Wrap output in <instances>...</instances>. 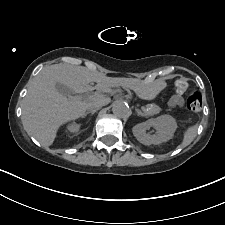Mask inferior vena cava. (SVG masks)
<instances>
[{
    "mask_svg": "<svg viewBox=\"0 0 225 225\" xmlns=\"http://www.w3.org/2000/svg\"><path fill=\"white\" fill-rule=\"evenodd\" d=\"M104 105H106V98L99 96L92 104L89 105L88 109L91 111L98 110Z\"/></svg>",
    "mask_w": 225,
    "mask_h": 225,
    "instance_id": "602c4592",
    "label": "inferior vena cava"
}]
</instances>
